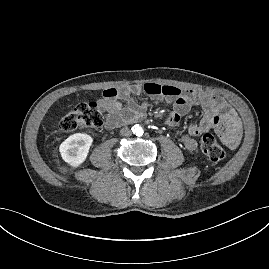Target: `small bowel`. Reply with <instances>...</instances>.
Returning a JSON list of instances; mask_svg holds the SVG:
<instances>
[{
    "instance_id": "small-bowel-1",
    "label": "small bowel",
    "mask_w": 269,
    "mask_h": 269,
    "mask_svg": "<svg viewBox=\"0 0 269 269\" xmlns=\"http://www.w3.org/2000/svg\"><path fill=\"white\" fill-rule=\"evenodd\" d=\"M142 92L154 99L173 103V112L166 123L176 126L181 116L189 112L192 106H200L204 115L199 122L188 126V134L181 139L184 147L189 151L197 149V141L193 138L210 130L215 131L221 141L229 148L238 147L242 137V124L237 113L221 97L204 90H180L174 86H162L156 83L136 84L124 89L107 88L99 101L101 109L107 112L105 127L113 129L122 123L141 119L145 112V103H138L132 95ZM126 103L124 106L123 103Z\"/></svg>"
}]
</instances>
